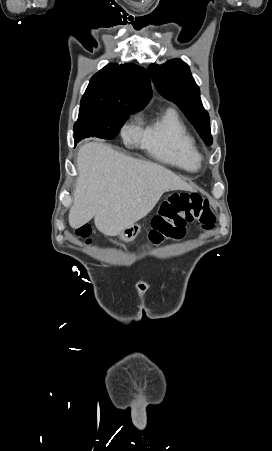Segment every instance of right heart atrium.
I'll list each match as a JSON object with an SVG mask.
<instances>
[{"instance_id": "1", "label": "right heart atrium", "mask_w": 272, "mask_h": 451, "mask_svg": "<svg viewBox=\"0 0 272 451\" xmlns=\"http://www.w3.org/2000/svg\"><path fill=\"white\" fill-rule=\"evenodd\" d=\"M137 134V127L133 124H128L123 129V137L126 141L131 140Z\"/></svg>"}]
</instances>
